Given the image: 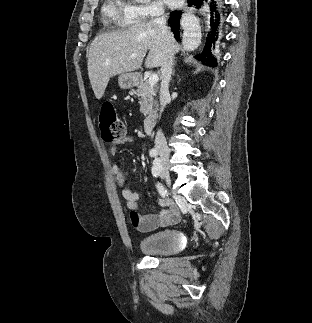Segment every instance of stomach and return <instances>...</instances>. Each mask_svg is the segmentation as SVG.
<instances>
[{"mask_svg": "<svg viewBox=\"0 0 312 323\" xmlns=\"http://www.w3.org/2000/svg\"><path fill=\"white\" fill-rule=\"evenodd\" d=\"M139 82L138 74H120L118 78V84L122 90H129V88H134Z\"/></svg>", "mask_w": 312, "mask_h": 323, "instance_id": "0dacf381", "label": "stomach"}]
</instances>
